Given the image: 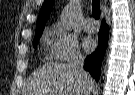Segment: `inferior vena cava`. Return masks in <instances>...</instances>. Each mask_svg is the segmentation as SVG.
<instances>
[{
	"mask_svg": "<svg viewBox=\"0 0 135 95\" xmlns=\"http://www.w3.org/2000/svg\"><path fill=\"white\" fill-rule=\"evenodd\" d=\"M69 65L73 72L81 77L83 84L86 87L84 95H90L91 87L89 85V75L83 69L84 57L81 54L76 53Z\"/></svg>",
	"mask_w": 135,
	"mask_h": 95,
	"instance_id": "obj_1",
	"label": "inferior vena cava"
}]
</instances>
